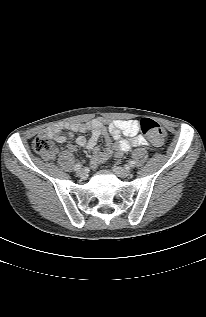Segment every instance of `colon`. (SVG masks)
Returning a JSON list of instances; mask_svg holds the SVG:
<instances>
[{
	"label": "colon",
	"instance_id": "colon-1",
	"mask_svg": "<svg viewBox=\"0 0 206 317\" xmlns=\"http://www.w3.org/2000/svg\"><path fill=\"white\" fill-rule=\"evenodd\" d=\"M139 127L153 144L161 145L164 142L166 132L158 122L150 118H142L139 122ZM32 147L35 152L43 155L49 154L53 149L50 138L44 135L37 136L32 143Z\"/></svg>",
	"mask_w": 206,
	"mask_h": 317
}]
</instances>
